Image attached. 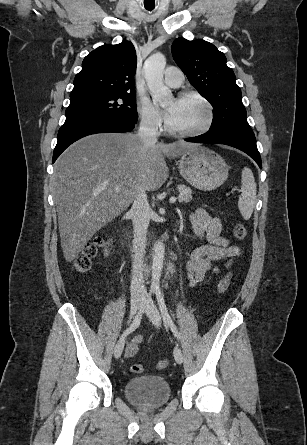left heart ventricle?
<instances>
[{
    "instance_id": "1",
    "label": "left heart ventricle",
    "mask_w": 307,
    "mask_h": 445,
    "mask_svg": "<svg viewBox=\"0 0 307 445\" xmlns=\"http://www.w3.org/2000/svg\"><path fill=\"white\" fill-rule=\"evenodd\" d=\"M172 98L166 100L164 104L174 107V114L169 121L172 128L179 131H191L202 126L207 119L206 108L194 99Z\"/></svg>"
}]
</instances>
